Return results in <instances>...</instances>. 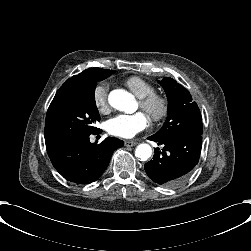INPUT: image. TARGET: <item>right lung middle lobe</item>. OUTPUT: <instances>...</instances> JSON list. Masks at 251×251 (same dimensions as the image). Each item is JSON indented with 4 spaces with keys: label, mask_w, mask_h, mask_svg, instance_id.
Instances as JSON below:
<instances>
[{
    "label": "right lung middle lobe",
    "mask_w": 251,
    "mask_h": 251,
    "mask_svg": "<svg viewBox=\"0 0 251 251\" xmlns=\"http://www.w3.org/2000/svg\"><path fill=\"white\" fill-rule=\"evenodd\" d=\"M114 72L90 68L74 82L61 86L47 111L45 138L59 142L97 133L99 129L93 126L100 120L94 97L96 84Z\"/></svg>",
    "instance_id": "1"
}]
</instances>
